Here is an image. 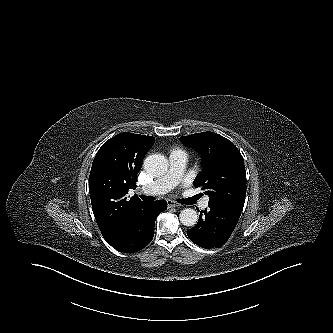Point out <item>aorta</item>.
I'll use <instances>...</instances> for the list:
<instances>
[{"label": "aorta", "instance_id": "obj_1", "mask_svg": "<svg viewBox=\"0 0 333 333\" xmlns=\"http://www.w3.org/2000/svg\"><path fill=\"white\" fill-rule=\"evenodd\" d=\"M145 171L153 177H159L168 170V160L161 154L149 155L143 163ZM180 222L185 226H194L198 221L197 212L191 208L183 209L179 214Z\"/></svg>", "mask_w": 333, "mask_h": 333}]
</instances>
